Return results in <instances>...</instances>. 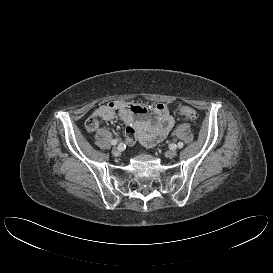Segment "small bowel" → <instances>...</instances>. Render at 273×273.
I'll use <instances>...</instances> for the list:
<instances>
[{"label": "small bowel", "instance_id": "small-bowel-1", "mask_svg": "<svg viewBox=\"0 0 273 273\" xmlns=\"http://www.w3.org/2000/svg\"><path fill=\"white\" fill-rule=\"evenodd\" d=\"M120 120L126 124L125 138L130 145L139 141L152 147L163 141L174 126L175 120L165 103L154 105L126 101H111L97 107L85 123L92 133L99 127V120Z\"/></svg>", "mask_w": 273, "mask_h": 273}]
</instances>
